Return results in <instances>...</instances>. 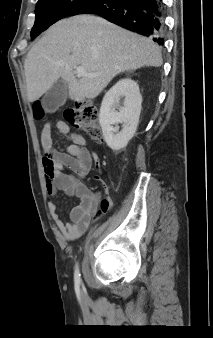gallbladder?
Returning <instances> with one entry per match:
<instances>
[{
  "label": "gallbladder",
  "mask_w": 213,
  "mask_h": 338,
  "mask_svg": "<svg viewBox=\"0 0 213 338\" xmlns=\"http://www.w3.org/2000/svg\"><path fill=\"white\" fill-rule=\"evenodd\" d=\"M67 96V84L62 79H59L45 93L41 100V105L45 112L53 113L65 103Z\"/></svg>",
  "instance_id": "1"
}]
</instances>
